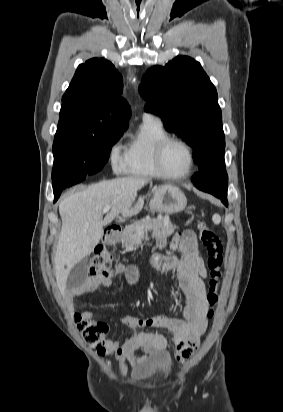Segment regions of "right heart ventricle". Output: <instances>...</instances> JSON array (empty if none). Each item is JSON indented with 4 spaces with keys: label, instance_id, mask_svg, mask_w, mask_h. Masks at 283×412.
I'll return each mask as SVG.
<instances>
[{
    "label": "right heart ventricle",
    "instance_id": "e07e8e85",
    "mask_svg": "<svg viewBox=\"0 0 283 412\" xmlns=\"http://www.w3.org/2000/svg\"><path fill=\"white\" fill-rule=\"evenodd\" d=\"M167 136L161 123L144 120L138 133L127 144L122 170L136 176H159L154 154L158 143Z\"/></svg>",
    "mask_w": 283,
    "mask_h": 412
}]
</instances>
